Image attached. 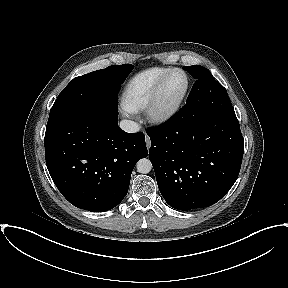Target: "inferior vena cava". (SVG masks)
I'll return each instance as SVG.
<instances>
[{"label":"inferior vena cava","mask_w":288,"mask_h":288,"mask_svg":"<svg viewBox=\"0 0 288 288\" xmlns=\"http://www.w3.org/2000/svg\"><path fill=\"white\" fill-rule=\"evenodd\" d=\"M119 126L123 131L128 133H136L140 130V127L136 122L126 119L121 120Z\"/></svg>","instance_id":"inferior-vena-cava-1"}]
</instances>
